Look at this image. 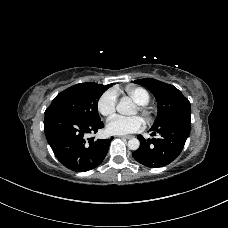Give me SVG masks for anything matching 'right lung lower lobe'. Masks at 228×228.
Masks as SVG:
<instances>
[{"label": "right lung lower lobe", "mask_w": 228, "mask_h": 228, "mask_svg": "<svg viewBox=\"0 0 228 228\" xmlns=\"http://www.w3.org/2000/svg\"><path fill=\"white\" fill-rule=\"evenodd\" d=\"M101 120L85 121L61 110L45 111L44 131L57 159L76 172L94 169L104 160L111 139H86L103 128Z\"/></svg>", "instance_id": "1"}]
</instances>
